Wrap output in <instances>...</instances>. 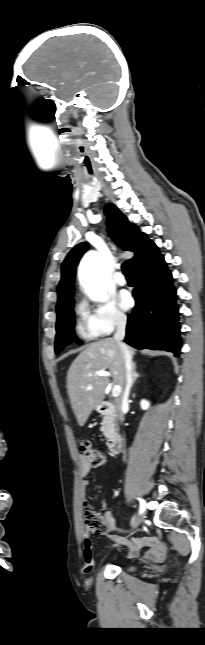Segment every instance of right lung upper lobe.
Masks as SVG:
<instances>
[{
    "mask_svg": "<svg viewBox=\"0 0 205 645\" xmlns=\"http://www.w3.org/2000/svg\"><path fill=\"white\" fill-rule=\"evenodd\" d=\"M105 214L108 217V229L112 238L122 249L135 253L131 259L134 269L160 254L158 247L148 239L146 234L141 233L134 224H131L115 205L108 204L105 207ZM87 249L88 243H79L68 253L62 264L61 280L58 285L57 315L73 304L75 269Z\"/></svg>",
    "mask_w": 205,
    "mask_h": 645,
    "instance_id": "obj_1",
    "label": "right lung upper lobe"
}]
</instances>
